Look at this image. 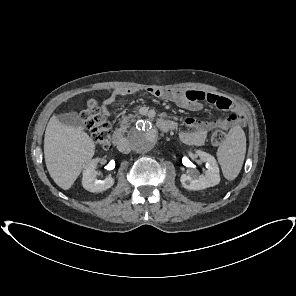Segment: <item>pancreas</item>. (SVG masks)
I'll use <instances>...</instances> for the list:
<instances>
[{"label": "pancreas", "mask_w": 296, "mask_h": 296, "mask_svg": "<svg viewBox=\"0 0 296 296\" xmlns=\"http://www.w3.org/2000/svg\"><path fill=\"white\" fill-rule=\"evenodd\" d=\"M132 119V116H124L120 119L121 130L124 132L127 128L130 127L129 121Z\"/></svg>", "instance_id": "obj_1"}]
</instances>
